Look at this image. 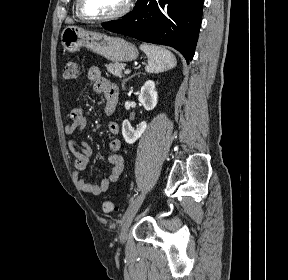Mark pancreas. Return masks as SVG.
I'll list each match as a JSON object with an SVG mask.
<instances>
[{"mask_svg": "<svg viewBox=\"0 0 288 280\" xmlns=\"http://www.w3.org/2000/svg\"><path fill=\"white\" fill-rule=\"evenodd\" d=\"M123 63H111L106 65L107 71L116 77H123L122 70L125 68Z\"/></svg>", "mask_w": 288, "mask_h": 280, "instance_id": "obj_1", "label": "pancreas"}]
</instances>
